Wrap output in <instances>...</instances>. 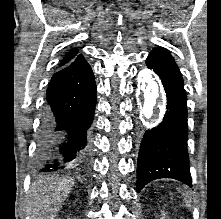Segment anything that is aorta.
<instances>
[{"mask_svg":"<svg viewBox=\"0 0 221 219\" xmlns=\"http://www.w3.org/2000/svg\"><path fill=\"white\" fill-rule=\"evenodd\" d=\"M137 85L139 90L138 117L145 122L153 115L162 92L158 81L152 76V71L148 69L139 73Z\"/></svg>","mask_w":221,"mask_h":219,"instance_id":"aorta-1","label":"aorta"}]
</instances>
